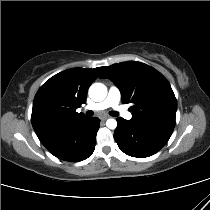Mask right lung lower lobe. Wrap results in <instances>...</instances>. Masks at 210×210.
I'll return each instance as SVG.
<instances>
[{
	"mask_svg": "<svg viewBox=\"0 0 210 210\" xmlns=\"http://www.w3.org/2000/svg\"><path fill=\"white\" fill-rule=\"evenodd\" d=\"M100 120L85 117L77 120L42 142L57 158L70 162L87 159L94 151Z\"/></svg>",
	"mask_w": 210,
	"mask_h": 210,
	"instance_id": "1",
	"label": "right lung lower lobe"
}]
</instances>
